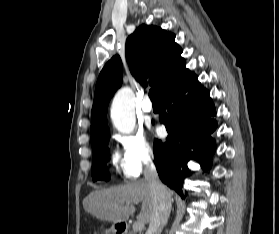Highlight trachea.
Wrapping results in <instances>:
<instances>
[{"label": "trachea", "mask_w": 279, "mask_h": 234, "mask_svg": "<svg viewBox=\"0 0 279 234\" xmlns=\"http://www.w3.org/2000/svg\"><path fill=\"white\" fill-rule=\"evenodd\" d=\"M149 97L151 99L152 102H158V98H157V92L155 88H152L149 91Z\"/></svg>", "instance_id": "obj_1"}]
</instances>
